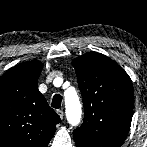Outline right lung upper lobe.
Instances as JSON below:
<instances>
[{
  "mask_svg": "<svg viewBox=\"0 0 147 147\" xmlns=\"http://www.w3.org/2000/svg\"><path fill=\"white\" fill-rule=\"evenodd\" d=\"M43 64L21 63L0 77V147H47L61 120L39 92Z\"/></svg>",
  "mask_w": 147,
  "mask_h": 147,
  "instance_id": "cb5924a9",
  "label": "right lung upper lobe"
}]
</instances>
